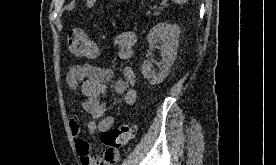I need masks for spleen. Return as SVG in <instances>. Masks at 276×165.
I'll return each mask as SVG.
<instances>
[{"instance_id":"obj_1","label":"spleen","mask_w":276,"mask_h":165,"mask_svg":"<svg viewBox=\"0 0 276 165\" xmlns=\"http://www.w3.org/2000/svg\"><path fill=\"white\" fill-rule=\"evenodd\" d=\"M172 1H174V2H176L178 4H182V3L187 2V0H172Z\"/></svg>"}]
</instances>
